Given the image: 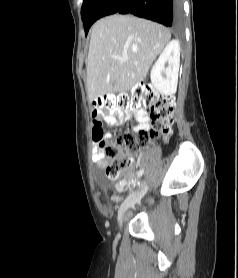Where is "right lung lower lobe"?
I'll list each match as a JSON object with an SVG mask.
<instances>
[{
  "label": "right lung lower lobe",
  "mask_w": 238,
  "mask_h": 278,
  "mask_svg": "<svg viewBox=\"0 0 238 278\" xmlns=\"http://www.w3.org/2000/svg\"><path fill=\"white\" fill-rule=\"evenodd\" d=\"M114 13H131L174 28L183 20L181 0H98L84 20L86 33L96 20Z\"/></svg>",
  "instance_id": "1"
}]
</instances>
